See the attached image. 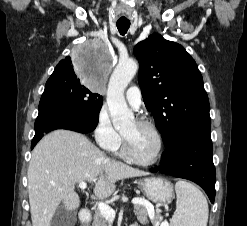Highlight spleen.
Wrapping results in <instances>:
<instances>
[{
    "label": "spleen",
    "mask_w": 247,
    "mask_h": 226,
    "mask_svg": "<svg viewBox=\"0 0 247 226\" xmlns=\"http://www.w3.org/2000/svg\"><path fill=\"white\" fill-rule=\"evenodd\" d=\"M176 211L171 226H207L208 203L203 193L186 181H178L175 185Z\"/></svg>",
    "instance_id": "obj_1"
}]
</instances>
